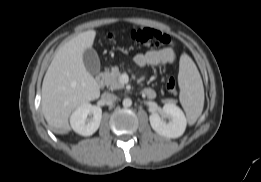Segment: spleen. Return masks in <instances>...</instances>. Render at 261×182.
<instances>
[{
    "mask_svg": "<svg viewBox=\"0 0 261 182\" xmlns=\"http://www.w3.org/2000/svg\"><path fill=\"white\" fill-rule=\"evenodd\" d=\"M178 83L180 103L186 112L188 123L193 125L203 111L204 87L195 63L187 54L180 57Z\"/></svg>",
    "mask_w": 261,
    "mask_h": 182,
    "instance_id": "1",
    "label": "spleen"
}]
</instances>
